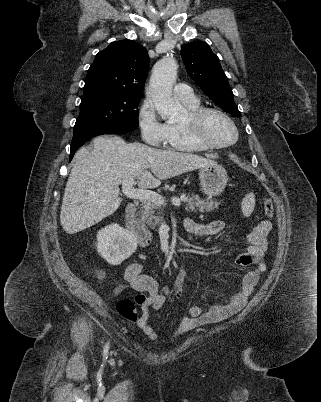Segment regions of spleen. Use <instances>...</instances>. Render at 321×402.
<instances>
[{
	"instance_id": "1",
	"label": "spleen",
	"mask_w": 321,
	"mask_h": 402,
	"mask_svg": "<svg viewBox=\"0 0 321 402\" xmlns=\"http://www.w3.org/2000/svg\"><path fill=\"white\" fill-rule=\"evenodd\" d=\"M255 207V196L253 193L247 194L241 203L242 213L245 217H249Z\"/></svg>"
}]
</instances>
